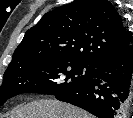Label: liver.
<instances>
[{
	"instance_id": "liver-1",
	"label": "liver",
	"mask_w": 133,
	"mask_h": 118,
	"mask_svg": "<svg viewBox=\"0 0 133 118\" xmlns=\"http://www.w3.org/2000/svg\"><path fill=\"white\" fill-rule=\"evenodd\" d=\"M10 118H93V116L68 103L41 99L15 107Z\"/></svg>"
}]
</instances>
